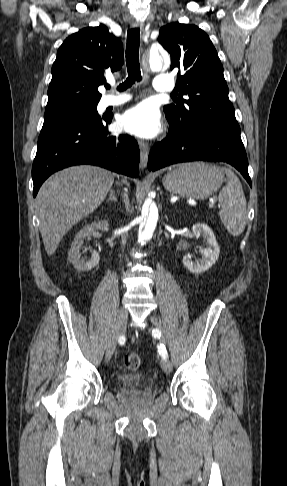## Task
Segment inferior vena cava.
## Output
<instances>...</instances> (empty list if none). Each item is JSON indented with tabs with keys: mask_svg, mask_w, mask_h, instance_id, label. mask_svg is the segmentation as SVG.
I'll return each mask as SVG.
<instances>
[{
	"mask_svg": "<svg viewBox=\"0 0 287 486\" xmlns=\"http://www.w3.org/2000/svg\"><path fill=\"white\" fill-rule=\"evenodd\" d=\"M124 202H125V205H126V209L128 210L129 209V199H128L127 194H124ZM122 243H123V245L126 243V236L125 235L122 236Z\"/></svg>",
	"mask_w": 287,
	"mask_h": 486,
	"instance_id": "obj_1",
	"label": "inferior vena cava"
}]
</instances>
